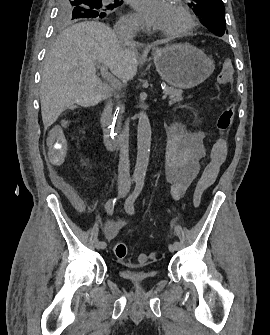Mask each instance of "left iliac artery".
I'll return each mask as SVG.
<instances>
[{
    "mask_svg": "<svg viewBox=\"0 0 270 335\" xmlns=\"http://www.w3.org/2000/svg\"><path fill=\"white\" fill-rule=\"evenodd\" d=\"M143 186H144V181L142 179L137 180L136 187H135L134 191L125 201V210H126L127 213L134 214V212H135L134 202L137 199V197L140 195V193L143 189ZM174 246L178 249V248L181 247V244H180V242L175 241Z\"/></svg>",
    "mask_w": 270,
    "mask_h": 335,
    "instance_id": "left-iliac-artery-1",
    "label": "left iliac artery"
}]
</instances>
